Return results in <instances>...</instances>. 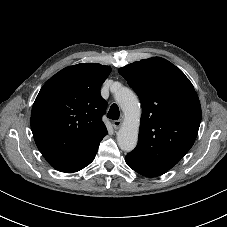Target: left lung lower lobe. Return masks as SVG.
I'll use <instances>...</instances> for the list:
<instances>
[{
  "label": "left lung lower lobe",
  "instance_id": "1",
  "mask_svg": "<svg viewBox=\"0 0 227 227\" xmlns=\"http://www.w3.org/2000/svg\"><path fill=\"white\" fill-rule=\"evenodd\" d=\"M127 165L132 168L134 171L140 173L141 175L147 176V177H156L159 175L164 174L167 172V170H162L158 168H154L148 165L143 164L142 162L131 158L129 156L125 157Z\"/></svg>",
  "mask_w": 227,
  "mask_h": 227
}]
</instances>
